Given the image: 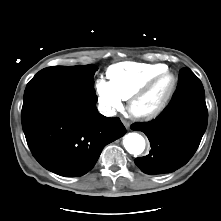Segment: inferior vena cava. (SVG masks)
Segmentation results:
<instances>
[{
	"instance_id": "1",
	"label": "inferior vena cava",
	"mask_w": 221,
	"mask_h": 221,
	"mask_svg": "<svg viewBox=\"0 0 221 221\" xmlns=\"http://www.w3.org/2000/svg\"><path fill=\"white\" fill-rule=\"evenodd\" d=\"M100 113L105 115V116H114L116 113L114 110H111L110 108H107V107H101L99 109Z\"/></svg>"
}]
</instances>
